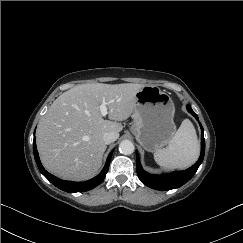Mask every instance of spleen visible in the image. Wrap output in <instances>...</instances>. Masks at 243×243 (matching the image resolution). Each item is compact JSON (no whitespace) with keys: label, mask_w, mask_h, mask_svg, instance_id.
I'll use <instances>...</instances> for the list:
<instances>
[{"label":"spleen","mask_w":243,"mask_h":243,"mask_svg":"<svg viewBox=\"0 0 243 243\" xmlns=\"http://www.w3.org/2000/svg\"><path fill=\"white\" fill-rule=\"evenodd\" d=\"M199 152L195 128L189 119H185L168 146L155 151L154 159L161 167L184 169L195 163Z\"/></svg>","instance_id":"obj_1"}]
</instances>
